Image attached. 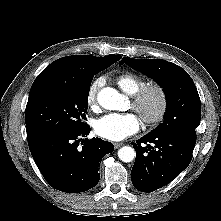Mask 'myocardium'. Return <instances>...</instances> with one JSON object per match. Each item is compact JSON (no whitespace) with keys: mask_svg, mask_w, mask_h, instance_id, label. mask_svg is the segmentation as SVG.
Segmentation results:
<instances>
[{"mask_svg":"<svg viewBox=\"0 0 221 221\" xmlns=\"http://www.w3.org/2000/svg\"><path fill=\"white\" fill-rule=\"evenodd\" d=\"M157 98V108L151 114L145 111V102L150 95ZM168 94L163 85L159 83H148L142 86L134 95H132V106L140 114L143 122L153 126L160 123L168 110Z\"/></svg>","mask_w":221,"mask_h":221,"instance_id":"myocardium-1","label":"myocardium"}]
</instances>
